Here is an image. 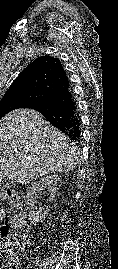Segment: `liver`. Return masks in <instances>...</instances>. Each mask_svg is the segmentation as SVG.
Here are the masks:
<instances>
[{"instance_id":"liver-1","label":"liver","mask_w":118,"mask_h":269,"mask_svg":"<svg viewBox=\"0 0 118 269\" xmlns=\"http://www.w3.org/2000/svg\"><path fill=\"white\" fill-rule=\"evenodd\" d=\"M78 159L75 144L37 111L18 109L0 120V180L27 184L73 170Z\"/></svg>"}]
</instances>
